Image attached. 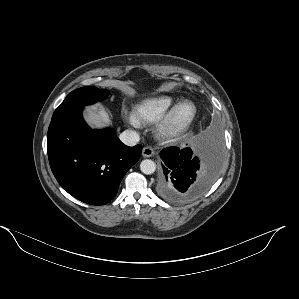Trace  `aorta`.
Listing matches in <instances>:
<instances>
[{
	"mask_svg": "<svg viewBox=\"0 0 299 299\" xmlns=\"http://www.w3.org/2000/svg\"><path fill=\"white\" fill-rule=\"evenodd\" d=\"M140 169H141L142 173H144L146 175H150L155 172L156 164L154 163V161H152L150 159H145L141 162Z\"/></svg>",
	"mask_w": 299,
	"mask_h": 299,
	"instance_id": "1",
	"label": "aorta"
}]
</instances>
